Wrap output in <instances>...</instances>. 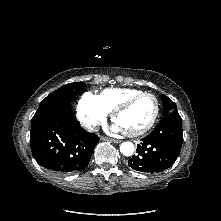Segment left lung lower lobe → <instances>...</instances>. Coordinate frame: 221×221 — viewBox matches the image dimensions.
I'll return each instance as SVG.
<instances>
[{
    "instance_id": "0a47b994",
    "label": "left lung lower lobe",
    "mask_w": 221,
    "mask_h": 221,
    "mask_svg": "<svg viewBox=\"0 0 221 221\" xmlns=\"http://www.w3.org/2000/svg\"><path fill=\"white\" fill-rule=\"evenodd\" d=\"M137 145V154L128 165L140 172L155 173L176 161L183 142L182 119L179 114L165 116L156 128Z\"/></svg>"
}]
</instances>
